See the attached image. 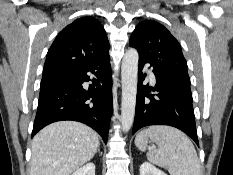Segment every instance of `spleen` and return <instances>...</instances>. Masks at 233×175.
Wrapping results in <instances>:
<instances>
[{"label": "spleen", "mask_w": 233, "mask_h": 175, "mask_svg": "<svg viewBox=\"0 0 233 175\" xmlns=\"http://www.w3.org/2000/svg\"><path fill=\"white\" fill-rule=\"evenodd\" d=\"M148 137L158 149H149L147 159L168 170L170 175H201L196 150L186 134L171 126H150L141 130L135 145L141 151L147 147Z\"/></svg>", "instance_id": "obj_1"}]
</instances>
